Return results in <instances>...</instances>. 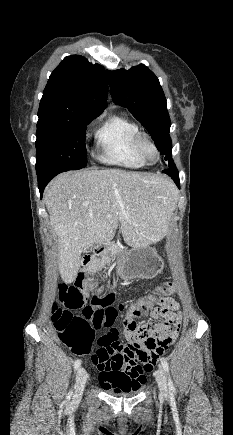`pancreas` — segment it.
<instances>
[{
  "instance_id": "1",
  "label": "pancreas",
  "mask_w": 233,
  "mask_h": 435,
  "mask_svg": "<svg viewBox=\"0 0 233 435\" xmlns=\"http://www.w3.org/2000/svg\"><path fill=\"white\" fill-rule=\"evenodd\" d=\"M111 261V254L109 252L104 253L101 258L96 259L95 265L97 267H105Z\"/></svg>"
}]
</instances>
